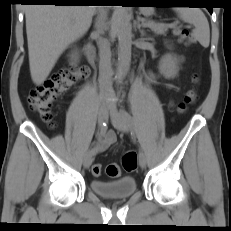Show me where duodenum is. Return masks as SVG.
Returning a JSON list of instances; mask_svg holds the SVG:
<instances>
[{"instance_id":"duodenum-1","label":"duodenum","mask_w":231,"mask_h":231,"mask_svg":"<svg viewBox=\"0 0 231 231\" xmlns=\"http://www.w3.org/2000/svg\"><path fill=\"white\" fill-rule=\"evenodd\" d=\"M85 54L90 63H95L96 61V54L93 46L91 44H87L85 46Z\"/></svg>"}]
</instances>
